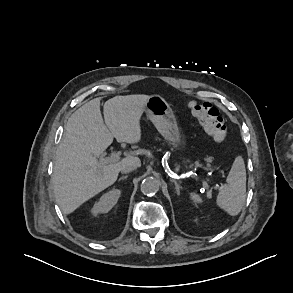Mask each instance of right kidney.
<instances>
[{
  "instance_id": "right-kidney-1",
  "label": "right kidney",
  "mask_w": 293,
  "mask_h": 293,
  "mask_svg": "<svg viewBox=\"0 0 293 293\" xmlns=\"http://www.w3.org/2000/svg\"><path fill=\"white\" fill-rule=\"evenodd\" d=\"M121 191L118 189H113L101 196L98 202H96L92 208V213L94 215L99 213H107L110 211L114 205L117 203Z\"/></svg>"
}]
</instances>
